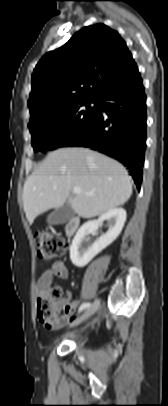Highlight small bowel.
Returning a JSON list of instances; mask_svg holds the SVG:
<instances>
[{"label":"small bowel","instance_id":"small-bowel-1","mask_svg":"<svg viewBox=\"0 0 168 406\" xmlns=\"http://www.w3.org/2000/svg\"><path fill=\"white\" fill-rule=\"evenodd\" d=\"M54 276H58L61 279L68 277V270L62 261L55 262L50 269L46 270L39 278L36 285V293L38 298L44 297L51 287V283ZM58 307H61L64 311L54 325H47L48 330H56L62 327L67 321L69 316L73 313L77 302L71 300L70 293H67L65 297L56 301Z\"/></svg>","mask_w":168,"mask_h":406}]
</instances>
